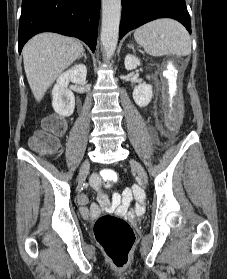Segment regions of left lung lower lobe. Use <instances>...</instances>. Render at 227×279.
I'll list each match as a JSON object with an SVG mask.
<instances>
[{"instance_id": "left-lung-lower-lobe-1", "label": "left lung lower lobe", "mask_w": 227, "mask_h": 279, "mask_svg": "<svg viewBox=\"0 0 227 279\" xmlns=\"http://www.w3.org/2000/svg\"><path fill=\"white\" fill-rule=\"evenodd\" d=\"M158 18H172L191 32L185 0H122L119 38L127 32Z\"/></svg>"}]
</instances>
